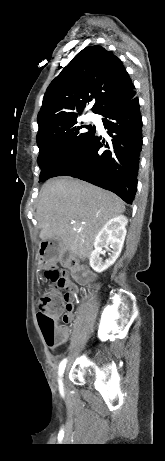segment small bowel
Listing matches in <instances>:
<instances>
[{
    "instance_id": "c3829d8e",
    "label": "small bowel",
    "mask_w": 165,
    "mask_h": 461,
    "mask_svg": "<svg viewBox=\"0 0 165 461\" xmlns=\"http://www.w3.org/2000/svg\"><path fill=\"white\" fill-rule=\"evenodd\" d=\"M74 260L76 261L77 259L75 258ZM64 261L66 262V265L62 268V277L68 282V291H62L61 296L64 308L70 310L68 313H61V320L64 324H69L73 318V309L76 306L74 296L77 293V285L70 281L73 277L72 271H84L87 268V265L85 263H69L71 261L69 256H66ZM62 264L64 265L65 263L63 262ZM74 274L77 275L78 273L75 272ZM87 280V274H79L80 282H86ZM59 333L60 340L55 347L62 346L69 340L71 329L64 325L59 329Z\"/></svg>"
}]
</instances>
